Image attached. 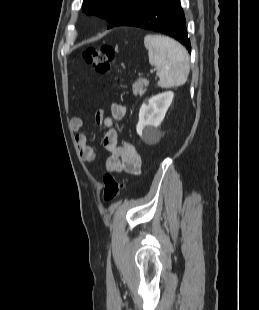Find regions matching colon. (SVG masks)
<instances>
[{
    "label": "colon",
    "mask_w": 259,
    "mask_h": 310,
    "mask_svg": "<svg viewBox=\"0 0 259 310\" xmlns=\"http://www.w3.org/2000/svg\"><path fill=\"white\" fill-rule=\"evenodd\" d=\"M82 57L95 71L101 74H108L113 69L116 54L112 46L103 44L85 49ZM103 183V198L105 201L114 199L122 192L123 183L118 181L111 173L104 176Z\"/></svg>",
    "instance_id": "obj_1"
}]
</instances>
